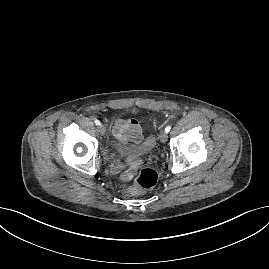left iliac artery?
I'll use <instances>...</instances> for the list:
<instances>
[{
    "label": "left iliac artery",
    "mask_w": 269,
    "mask_h": 269,
    "mask_svg": "<svg viewBox=\"0 0 269 269\" xmlns=\"http://www.w3.org/2000/svg\"><path fill=\"white\" fill-rule=\"evenodd\" d=\"M171 130V126H167L166 128H165V132H169Z\"/></svg>",
    "instance_id": "44dca946"
}]
</instances>
